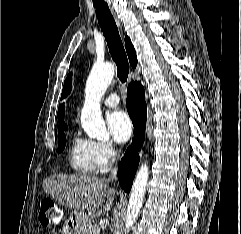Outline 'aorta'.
I'll list each match as a JSON object with an SVG mask.
<instances>
[{"label": "aorta", "instance_id": "obj_1", "mask_svg": "<svg viewBox=\"0 0 241 234\" xmlns=\"http://www.w3.org/2000/svg\"><path fill=\"white\" fill-rule=\"evenodd\" d=\"M112 63L95 64L86 82L85 103L81 112V125L90 138L108 139L109 133L100 110V100L114 77ZM149 176V167L142 163L131 189L126 213L124 233L130 231L142 208Z\"/></svg>", "mask_w": 241, "mask_h": 234}]
</instances>
